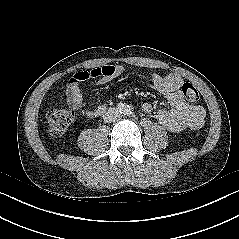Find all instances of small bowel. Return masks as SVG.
<instances>
[{
	"instance_id": "1",
	"label": "small bowel",
	"mask_w": 239,
	"mask_h": 239,
	"mask_svg": "<svg viewBox=\"0 0 239 239\" xmlns=\"http://www.w3.org/2000/svg\"><path fill=\"white\" fill-rule=\"evenodd\" d=\"M124 73V67L118 64L104 65L97 69L78 71L72 75L67 84V100L71 107L83 109L86 103L83 99L80 86L83 82L95 78L99 85L110 83ZM150 86L168 100L170 109L154 110L150 103H144L141 109L146 114H154L157 121L171 132L197 130L205 122L206 112L200 105L190 104L185 100L181 87L183 79L180 75L170 73L160 75L151 73ZM106 110V104L99 105L94 110H86L88 117H95Z\"/></svg>"
}]
</instances>
